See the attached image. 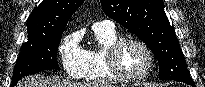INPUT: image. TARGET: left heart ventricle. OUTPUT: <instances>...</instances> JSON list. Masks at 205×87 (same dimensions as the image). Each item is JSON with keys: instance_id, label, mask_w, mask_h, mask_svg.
I'll list each match as a JSON object with an SVG mask.
<instances>
[{"instance_id": "1", "label": "left heart ventricle", "mask_w": 205, "mask_h": 87, "mask_svg": "<svg viewBox=\"0 0 205 87\" xmlns=\"http://www.w3.org/2000/svg\"><path fill=\"white\" fill-rule=\"evenodd\" d=\"M119 63L126 74L136 76L146 68L147 56L140 46L129 43L122 48L119 54Z\"/></svg>"}]
</instances>
